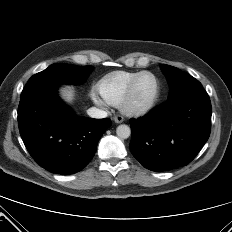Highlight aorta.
I'll list each match as a JSON object with an SVG mask.
<instances>
[{
    "mask_svg": "<svg viewBox=\"0 0 232 232\" xmlns=\"http://www.w3.org/2000/svg\"><path fill=\"white\" fill-rule=\"evenodd\" d=\"M116 134L120 139H127L131 135V129L128 125H119L116 129Z\"/></svg>",
    "mask_w": 232,
    "mask_h": 232,
    "instance_id": "aorta-1",
    "label": "aorta"
}]
</instances>
